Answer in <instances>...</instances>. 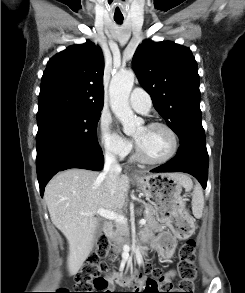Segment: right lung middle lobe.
<instances>
[{
	"instance_id": "obj_1",
	"label": "right lung middle lobe",
	"mask_w": 245,
	"mask_h": 293,
	"mask_svg": "<svg viewBox=\"0 0 245 293\" xmlns=\"http://www.w3.org/2000/svg\"><path fill=\"white\" fill-rule=\"evenodd\" d=\"M101 110L51 107L37 113L36 166L48 156L73 147L99 148L96 128Z\"/></svg>"
}]
</instances>
